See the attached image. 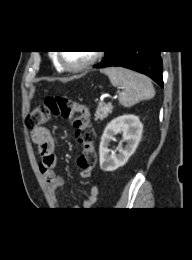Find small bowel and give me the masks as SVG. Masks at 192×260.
<instances>
[{"instance_id": "obj_1", "label": "small bowel", "mask_w": 192, "mask_h": 260, "mask_svg": "<svg viewBox=\"0 0 192 260\" xmlns=\"http://www.w3.org/2000/svg\"><path fill=\"white\" fill-rule=\"evenodd\" d=\"M31 140L35 144L40 158L39 169L45 184L52 195H56L66 187L65 181L54 172L57 163L55 140L48 129L37 128L31 132ZM82 178L91 176V169H83L80 172ZM99 189L93 185L90 187L88 196L82 203L83 209H90L97 201ZM72 208H78L73 206Z\"/></svg>"}]
</instances>
